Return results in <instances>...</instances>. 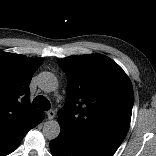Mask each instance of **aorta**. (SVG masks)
I'll return each instance as SVG.
<instances>
[{
	"mask_svg": "<svg viewBox=\"0 0 156 156\" xmlns=\"http://www.w3.org/2000/svg\"><path fill=\"white\" fill-rule=\"evenodd\" d=\"M38 87L44 92H53L58 87L57 78L51 72H42L38 76ZM42 131L46 139H56L60 134V124L57 120L46 121Z\"/></svg>",
	"mask_w": 156,
	"mask_h": 156,
	"instance_id": "aorta-1",
	"label": "aorta"
}]
</instances>
